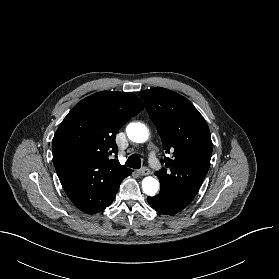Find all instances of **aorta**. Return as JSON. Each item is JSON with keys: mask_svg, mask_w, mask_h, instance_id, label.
<instances>
[{"mask_svg": "<svg viewBox=\"0 0 279 279\" xmlns=\"http://www.w3.org/2000/svg\"><path fill=\"white\" fill-rule=\"evenodd\" d=\"M128 138L136 143L146 142L149 132L146 126L140 122L130 123L126 128ZM142 188L145 194L154 196L159 189V182L155 178L148 176L142 180Z\"/></svg>", "mask_w": 279, "mask_h": 279, "instance_id": "obj_1", "label": "aorta"}]
</instances>
